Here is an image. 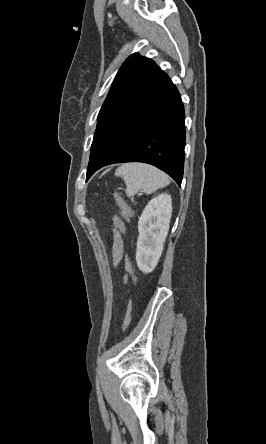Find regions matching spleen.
<instances>
[{
  "mask_svg": "<svg viewBox=\"0 0 266 444\" xmlns=\"http://www.w3.org/2000/svg\"><path fill=\"white\" fill-rule=\"evenodd\" d=\"M115 176L121 177L126 184V194L134 196L143 190L147 195L170 183L169 177L161 170L142 163H127L117 168Z\"/></svg>",
  "mask_w": 266,
  "mask_h": 444,
  "instance_id": "1",
  "label": "spleen"
}]
</instances>
